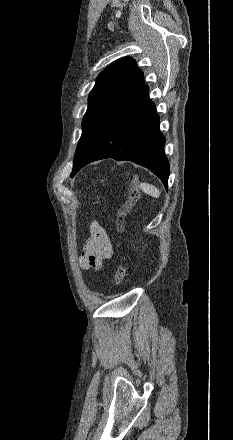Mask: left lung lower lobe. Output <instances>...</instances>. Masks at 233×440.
<instances>
[{
  "label": "left lung lower lobe",
  "instance_id": "1",
  "mask_svg": "<svg viewBox=\"0 0 233 440\" xmlns=\"http://www.w3.org/2000/svg\"><path fill=\"white\" fill-rule=\"evenodd\" d=\"M148 91L147 86L114 118L72 177L90 162L113 158L143 165L167 188L169 163L163 150L165 138L160 132L159 116Z\"/></svg>",
  "mask_w": 233,
  "mask_h": 440
}]
</instances>
